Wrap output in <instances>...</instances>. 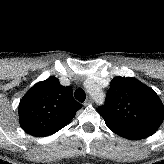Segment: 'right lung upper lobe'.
<instances>
[{"mask_svg":"<svg viewBox=\"0 0 164 164\" xmlns=\"http://www.w3.org/2000/svg\"><path fill=\"white\" fill-rule=\"evenodd\" d=\"M80 108L72 89L52 76L35 84L21 99L20 126L32 136H46L68 124Z\"/></svg>","mask_w":164,"mask_h":164,"instance_id":"cb5924a9","label":"right lung upper lobe"}]
</instances>
